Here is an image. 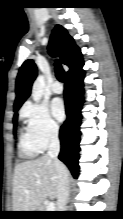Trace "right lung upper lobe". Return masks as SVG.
Here are the masks:
<instances>
[{
  "mask_svg": "<svg viewBox=\"0 0 123 219\" xmlns=\"http://www.w3.org/2000/svg\"><path fill=\"white\" fill-rule=\"evenodd\" d=\"M48 49L51 55H59L61 61L70 68L66 76L83 63L80 49L75 45L73 38L60 25H56L54 28ZM36 76L37 68L34 61L26 60L21 66L16 80L14 111H18L29 97Z\"/></svg>",
  "mask_w": 123,
  "mask_h": 219,
  "instance_id": "obj_1",
  "label": "right lung upper lobe"
}]
</instances>
